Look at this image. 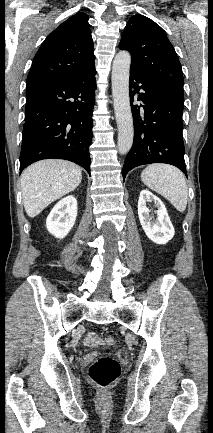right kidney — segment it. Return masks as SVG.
Returning <instances> with one entry per match:
<instances>
[{
    "instance_id": "ca27d5eb",
    "label": "right kidney",
    "mask_w": 213,
    "mask_h": 433,
    "mask_svg": "<svg viewBox=\"0 0 213 433\" xmlns=\"http://www.w3.org/2000/svg\"><path fill=\"white\" fill-rule=\"evenodd\" d=\"M77 217V200L67 196L60 200L46 219L47 230L56 238H64L74 226Z\"/></svg>"
}]
</instances>
